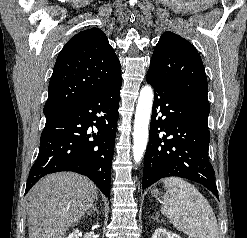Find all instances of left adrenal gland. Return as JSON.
I'll list each match as a JSON object with an SVG mask.
<instances>
[{
    "label": "left adrenal gland",
    "mask_w": 247,
    "mask_h": 238,
    "mask_svg": "<svg viewBox=\"0 0 247 238\" xmlns=\"http://www.w3.org/2000/svg\"><path fill=\"white\" fill-rule=\"evenodd\" d=\"M152 218H153L154 220H156L157 222H159V219H158V214H156V215H155V217H154V216H152Z\"/></svg>",
    "instance_id": "a2214340"
}]
</instances>
